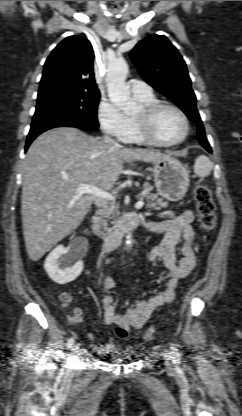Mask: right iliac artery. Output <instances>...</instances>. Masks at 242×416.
<instances>
[{
    "instance_id": "obj_1",
    "label": "right iliac artery",
    "mask_w": 242,
    "mask_h": 416,
    "mask_svg": "<svg viewBox=\"0 0 242 416\" xmlns=\"http://www.w3.org/2000/svg\"><path fill=\"white\" fill-rule=\"evenodd\" d=\"M74 344V338L73 337H71V338H69L68 339V342H67V344H66V346H67V349H70L71 347H72V345Z\"/></svg>"
}]
</instances>
